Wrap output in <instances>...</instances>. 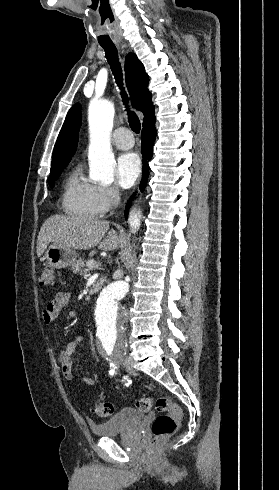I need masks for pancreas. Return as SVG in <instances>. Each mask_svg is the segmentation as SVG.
Returning a JSON list of instances; mask_svg holds the SVG:
<instances>
[{
	"label": "pancreas",
	"instance_id": "pancreas-1",
	"mask_svg": "<svg viewBox=\"0 0 279 490\" xmlns=\"http://www.w3.org/2000/svg\"><path fill=\"white\" fill-rule=\"evenodd\" d=\"M98 266H99V264H95L96 270H99ZM83 268H85L84 260H77V262H75V264H72V266H71V270H72L73 274H79V272H83ZM92 270H93V268H92Z\"/></svg>",
	"mask_w": 279,
	"mask_h": 490
}]
</instances>
